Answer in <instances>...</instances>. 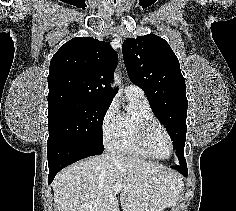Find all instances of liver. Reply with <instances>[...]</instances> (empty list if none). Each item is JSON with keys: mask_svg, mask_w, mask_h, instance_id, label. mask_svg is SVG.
Instances as JSON below:
<instances>
[{"mask_svg": "<svg viewBox=\"0 0 236 211\" xmlns=\"http://www.w3.org/2000/svg\"><path fill=\"white\" fill-rule=\"evenodd\" d=\"M115 184H122L123 211H162L173 204L182 181L162 165L103 154L76 162L53 181L57 211H119Z\"/></svg>", "mask_w": 236, "mask_h": 211, "instance_id": "liver-1", "label": "liver"}]
</instances>
